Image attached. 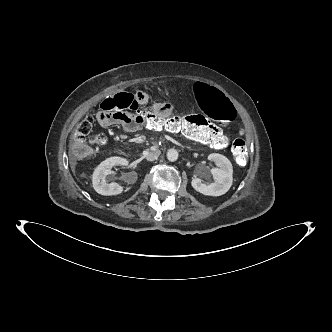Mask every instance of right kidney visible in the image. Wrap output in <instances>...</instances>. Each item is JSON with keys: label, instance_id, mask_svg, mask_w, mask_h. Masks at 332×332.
<instances>
[{"label": "right kidney", "instance_id": "1", "mask_svg": "<svg viewBox=\"0 0 332 332\" xmlns=\"http://www.w3.org/2000/svg\"><path fill=\"white\" fill-rule=\"evenodd\" d=\"M115 165L127 166L128 161L125 158L113 156L101 162L94 170L92 175V184L94 190L98 194L110 196L122 193V186L116 182L108 183L106 180L107 175L111 174V169Z\"/></svg>", "mask_w": 332, "mask_h": 332}]
</instances>
